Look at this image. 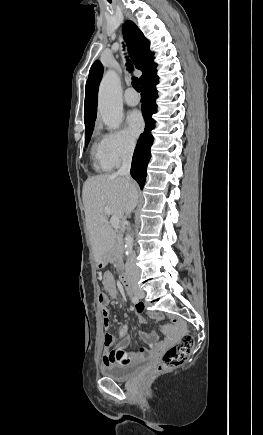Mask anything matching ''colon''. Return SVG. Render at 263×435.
Segmentation results:
<instances>
[{
    "label": "colon",
    "instance_id": "1",
    "mask_svg": "<svg viewBox=\"0 0 263 435\" xmlns=\"http://www.w3.org/2000/svg\"><path fill=\"white\" fill-rule=\"evenodd\" d=\"M105 299L104 294H100V302L102 303ZM115 335L112 334V330L110 328H105L103 330L102 335V344L104 350H113L115 343ZM194 346V338L190 334H184L177 346H174L168 349L160 362V364L153 369L151 372L144 376V379H151L161 373L172 370L176 367H179L183 363H185L188 359L189 354L191 353Z\"/></svg>",
    "mask_w": 263,
    "mask_h": 435
}]
</instances>
